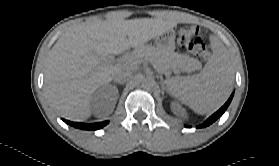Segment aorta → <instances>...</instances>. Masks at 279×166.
Wrapping results in <instances>:
<instances>
[{
    "instance_id": "aorta-1",
    "label": "aorta",
    "mask_w": 279,
    "mask_h": 166,
    "mask_svg": "<svg viewBox=\"0 0 279 166\" xmlns=\"http://www.w3.org/2000/svg\"><path fill=\"white\" fill-rule=\"evenodd\" d=\"M141 85L146 89H150L154 86V80L152 78L143 79Z\"/></svg>"
}]
</instances>
